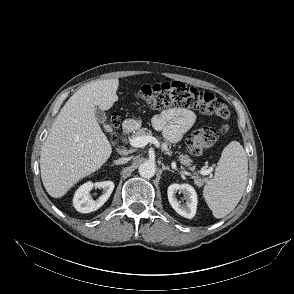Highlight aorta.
Returning a JSON list of instances; mask_svg holds the SVG:
<instances>
[{
  "label": "aorta",
  "mask_w": 294,
  "mask_h": 294,
  "mask_svg": "<svg viewBox=\"0 0 294 294\" xmlns=\"http://www.w3.org/2000/svg\"><path fill=\"white\" fill-rule=\"evenodd\" d=\"M138 171L140 176L143 178H152L156 172L155 164L151 162H144L139 166Z\"/></svg>",
  "instance_id": "1"
}]
</instances>
